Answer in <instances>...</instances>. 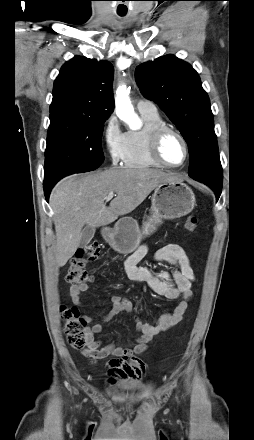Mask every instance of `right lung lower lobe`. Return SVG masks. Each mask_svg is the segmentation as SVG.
Listing matches in <instances>:
<instances>
[{"instance_id":"1","label":"right lung lower lobe","mask_w":254,"mask_h":440,"mask_svg":"<svg viewBox=\"0 0 254 440\" xmlns=\"http://www.w3.org/2000/svg\"><path fill=\"white\" fill-rule=\"evenodd\" d=\"M53 185L52 184L44 185V192H45V197H46L47 201H48L49 194H50V191H51V188Z\"/></svg>"}]
</instances>
